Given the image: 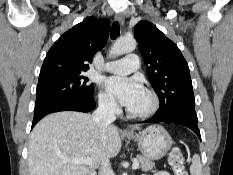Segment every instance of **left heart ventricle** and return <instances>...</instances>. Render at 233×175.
Here are the masks:
<instances>
[{
	"label": "left heart ventricle",
	"mask_w": 233,
	"mask_h": 175,
	"mask_svg": "<svg viewBox=\"0 0 233 175\" xmlns=\"http://www.w3.org/2000/svg\"><path fill=\"white\" fill-rule=\"evenodd\" d=\"M148 106V99L147 97L143 94L139 102L130 108L131 111H140Z\"/></svg>",
	"instance_id": "left-heart-ventricle-1"
}]
</instances>
